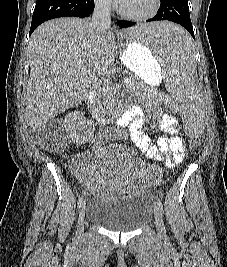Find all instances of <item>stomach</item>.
Here are the masks:
<instances>
[{"instance_id":"stomach-1","label":"stomach","mask_w":227,"mask_h":267,"mask_svg":"<svg viewBox=\"0 0 227 267\" xmlns=\"http://www.w3.org/2000/svg\"><path fill=\"white\" fill-rule=\"evenodd\" d=\"M121 61L148 85H156L162 78L163 59H154L152 51L143 47V43H126Z\"/></svg>"}]
</instances>
